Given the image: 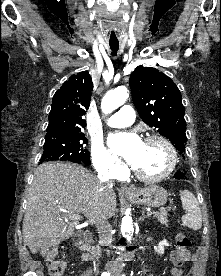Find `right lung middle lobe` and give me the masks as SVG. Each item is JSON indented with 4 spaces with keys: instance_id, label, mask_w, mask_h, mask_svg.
<instances>
[{
    "instance_id": "1",
    "label": "right lung middle lobe",
    "mask_w": 221,
    "mask_h": 276,
    "mask_svg": "<svg viewBox=\"0 0 221 276\" xmlns=\"http://www.w3.org/2000/svg\"><path fill=\"white\" fill-rule=\"evenodd\" d=\"M87 139L82 132L53 134L45 136L40 163L50 160H68L90 164V154L84 145Z\"/></svg>"
}]
</instances>
